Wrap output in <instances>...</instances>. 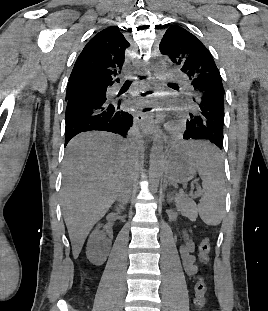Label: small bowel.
I'll list each match as a JSON object with an SVG mask.
<instances>
[{
	"label": "small bowel",
	"mask_w": 268,
	"mask_h": 311,
	"mask_svg": "<svg viewBox=\"0 0 268 311\" xmlns=\"http://www.w3.org/2000/svg\"><path fill=\"white\" fill-rule=\"evenodd\" d=\"M179 251L185 272L189 276L195 278L198 271V265L196 258L193 255V244L187 237H185L184 242L180 245Z\"/></svg>",
	"instance_id": "small-bowel-1"
}]
</instances>
